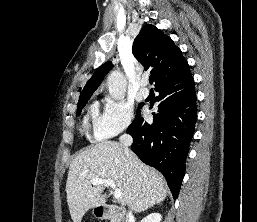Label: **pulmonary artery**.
Here are the masks:
<instances>
[{
    "label": "pulmonary artery",
    "mask_w": 257,
    "mask_h": 222,
    "mask_svg": "<svg viewBox=\"0 0 257 222\" xmlns=\"http://www.w3.org/2000/svg\"><path fill=\"white\" fill-rule=\"evenodd\" d=\"M140 93L143 97L149 96V89L147 88V79L141 81Z\"/></svg>",
    "instance_id": "pulmonary-artery-1"
}]
</instances>
